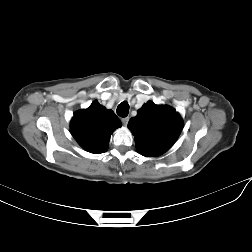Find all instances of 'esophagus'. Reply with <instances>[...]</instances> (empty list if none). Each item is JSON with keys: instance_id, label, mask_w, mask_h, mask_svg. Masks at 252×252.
<instances>
[{"instance_id": "34e87169", "label": "esophagus", "mask_w": 252, "mask_h": 252, "mask_svg": "<svg viewBox=\"0 0 252 252\" xmlns=\"http://www.w3.org/2000/svg\"><path fill=\"white\" fill-rule=\"evenodd\" d=\"M128 121H129V117H128V116L122 118V123H123L124 125H126V124L128 123Z\"/></svg>"}]
</instances>
